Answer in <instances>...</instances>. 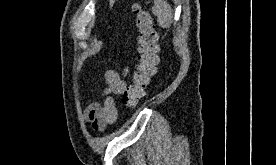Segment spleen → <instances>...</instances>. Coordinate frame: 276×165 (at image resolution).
<instances>
[{"label": "spleen", "instance_id": "obj_1", "mask_svg": "<svg viewBox=\"0 0 276 165\" xmlns=\"http://www.w3.org/2000/svg\"><path fill=\"white\" fill-rule=\"evenodd\" d=\"M152 12L157 17V21L162 28H169L171 26L173 13L171 6L166 0H154Z\"/></svg>", "mask_w": 276, "mask_h": 165}]
</instances>
